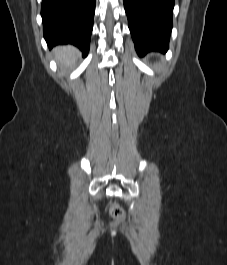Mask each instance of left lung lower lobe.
<instances>
[{
    "instance_id": "0a47b994",
    "label": "left lung lower lobe",
    "mask_w": 227,
    "mask_h": 265,
    "mask_svg": "<svg viewBox=\"0 0 227 265\" xmlns=\"http://www.w3.org/2000/svg\"><path fill=\"white\" fill-rule=\"evenodd\" d=\"M139 55L168 50L174 0H123Z\"/></svg>"
}]
</instances>
